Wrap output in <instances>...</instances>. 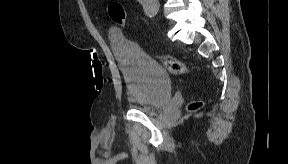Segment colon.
Wrapping results in <instances>:
<instances>
[{"mask_svg":"<svg viewBox=\"0 0 288 164\" xmlns=\"http://www.w3.org/2000/svg\"><path fill=\"white\" fill-rule=\"evenodd\" d=\"M110 17L112 19L118 20L121 26H125V16L122 7L118 3H113L109 9ZM157 57L162 61L163 65L173 74L181 76L189 73V68L187 65L179 60L168 58L162 55H157ZM203 107L202 101H196L188 106L190 112L197 111Z\"/></svg>","mask_w":288,"mask_h":164,"instance_id":"obj_1","label":"colon"}]
</instances>
